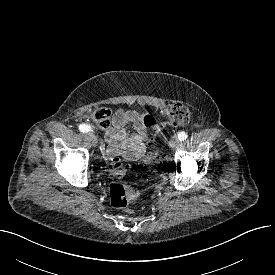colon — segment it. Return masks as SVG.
Instances as JSON below:
<instances>
[{"instance_id": "colon-1", "label": "colon", "mask_w": 275, "mask_h": 275, "mask_svg": "<svg viewBox=\"0 0 275 275\" xmlns=\"http://www.w3.org/2000/svg\"><path fill=\"white\" fill-rule=\"evenodd\" d=\"M164 114L174 126H184L191 120V111L183 103L169 104L165 107ZM90 117L100 128L104 130L109 128L111 123L110 109L96 107L92 110ZM146 127V141L151 145L160 129L152 117L146 119ZM142 163L151 172H159L163 168L162 160L151 150L144 156ZM110 170L114 175V179L109 186L110 203L115 208L127 210L130 203L140 198L141 193L130 182L122 179V175L125 172V167L122 163L113 161L110 164Z\"/></svg>"}]
</instances>
